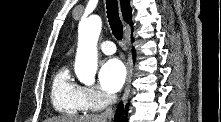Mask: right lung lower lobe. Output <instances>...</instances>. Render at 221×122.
<instances>
[{"instance_id":"98d812e1","label":"right lung lower lobe","mask_w":221,"mask_h":122,"mask_svg":"<svg viewBox=\"0 0 221 122\" xmlns=\"http://www.w3.org/2000/svg\"><path fill=\"white\" fill-rule=\"evenodd\" d=\"M128 106L129 104H126L124 108L122 103L118 105L117 112L115 115V122H127V117H125L124 115H127Z\"/></svg>"}]
</instances>
